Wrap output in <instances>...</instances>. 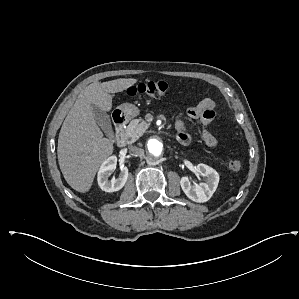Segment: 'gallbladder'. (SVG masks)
Returning a JSON list of instances; mask_svg holds the SVG:
<instances>
[{"label": "gallbladder", "instance_id": "1", "mask_svg": "<svg viewBox=\"0 0 299 299\" xmlns=\"http://www.w3.org/2000/svg\"><path fill=\"white\" fill-rule=\"evenodd\" d=\"M93 111L95 114V120H96L97 124L99 126H101V128L104 131H110L111 130V121H110L109 115L96 106H93Z\"/></svg>", "mask_w": 299, "mask_h": 299}]
</instances>
